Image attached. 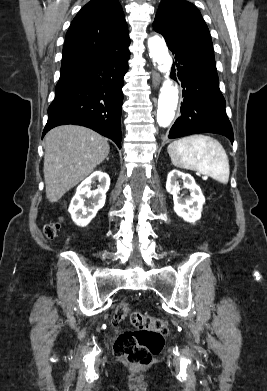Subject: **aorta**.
I'll return each instance as SVG.
<instances>
[{"label":"aorta","instance_id":"762f6f07","mask_svg":"<svg viewBox=\"0 0 267 391\" xmlns=\"http://www.w3.org/2000/svg\"><path fill=\"white\" fill-rule=\"evenodd\" d=\"M148 47L154 65H157L165 78L158 99L157 122L160 127H167L175 116L178 104V88L169 77L172 59L162 37L158 35L149 37Z\"/></svg>","mask_w":267,"mask_h":391}]
</instances>
